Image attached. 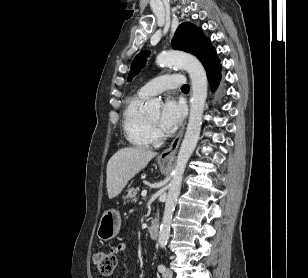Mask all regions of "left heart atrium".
Masks as SVG:
<instances>
[{
    "label": "left heart atrium",
    "instance_id": "left-heart-atrium-1",
    "mask_svg": "<svg viewBox=\"0 0 308 278\" xmlns=\"http://www.w3.org/2000/svg\"><path fill=\"white\" fill-rule=\"evenodd\" d=\"M185 110L182 104L168 98L163 104L158 124L167 133L174 132L181 124Z\"/></svg>",
    "mask_w": 308,
    "mask_h": 278
}]
</instances>
